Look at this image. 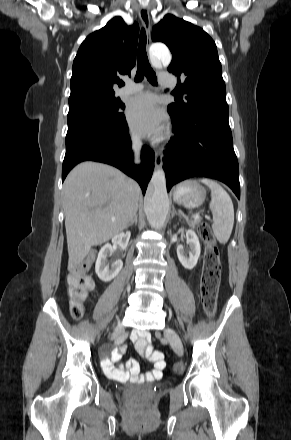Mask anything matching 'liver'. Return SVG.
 Here are the masks:
<instances>
[{"mask_svg": "<svg viewBox=\"0 0 291 440\" xmlns=\"http://www.w3.org/2000/svg\"><path fill=\"white\" fill-rule=\"evenodd\" d=\"M138 200L136 182L114 167L86 161L72 169L63 185L68 269L92 246L122 232L136 215Z\"/></svg>", "mask_w": 291, "mask_h": 440, "instance_id": "6515ba94", "label": "liver"}]
</instances>
